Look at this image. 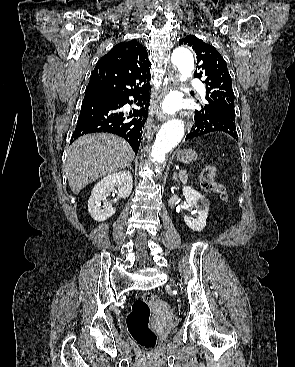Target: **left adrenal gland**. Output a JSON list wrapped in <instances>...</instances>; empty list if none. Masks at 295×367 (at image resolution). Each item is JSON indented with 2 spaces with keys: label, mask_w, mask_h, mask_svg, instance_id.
Here are the masks:
<instances>
[{
  "label": "left adrenal gland",
  "mask_w": 295,
  "mask_h": 367,
  "mask_svg": "<svg viewBox=\"0 0 295 367\" xmlns=\"http://www.w3.org/2000/svg\"><path fill=\"white\" fill-rule=\"evenodd\" d=\"M173 179L178 181L177 173L174 172Z\"/></svg>",
  "instance_id": "obj_1"
}]
</instances>
